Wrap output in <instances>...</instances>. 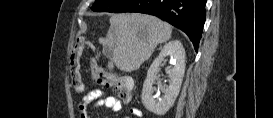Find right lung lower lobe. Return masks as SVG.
<instances>
[{
  "label": "right lung lower lobe",
  "instance_id": "1",
  "mask_svg": "<svg viewBox=\"0 0 273 118\" xmlns=\"http://www.w3.org/2000/svg\"><path fill=\"white\" fill-rule=\"evenodd\" d=\"M206 0H128L116 12L155 15L184 31L198 50L205 23Z\"/></svg>",
  "mask_w": 273,
  "mask_h": 118
}]
</instances>
